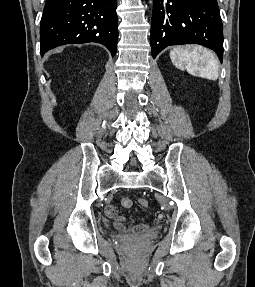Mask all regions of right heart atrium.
I'll list each match as a JSON object with an SVG mask.
<instances>
[{
	"label": "right heart atrium",
	"instance_id": "d8ad5b80",
	"mask_svg": "<svg viewBox=\"0 0 255 287\" xmlns=\"http://www.w3.org/2000/svg\"><path fill=\"white\" fill-rule=\"evenodd\" d=\"M128 33H139V32H128ZM129 39H139V38H129Z\"/></svg>",
	"mask_w": 255,
	"mask_h": 287
}]
</instances>
